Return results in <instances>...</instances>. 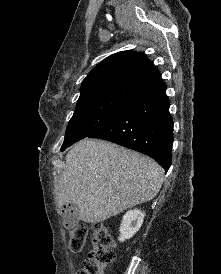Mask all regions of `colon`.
Instances as JSON below:
<instances>
[{"label":"colon","mask_w":221,"mask_h":274,"mask_svg":"<svg viewBox=\"0 0 221 274\" xmlns=\"http://www.w3.org/2000/svg\"><path fill=\"white\" fill-rule=\"evenodd\" d=\"M88 230L82 224L70 226L69 247L72 252H80L85 245ZM113 236L109 228L101 223L93 225L91 230V249L78 274H102L114 259Z\"/></svg>","instance_id":"1"}]
</instances>
